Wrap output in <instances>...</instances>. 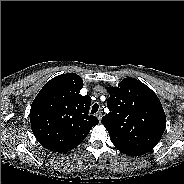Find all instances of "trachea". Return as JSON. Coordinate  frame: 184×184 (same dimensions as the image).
<instances>
[{
	"instance_id": "obj_1",
	"label": "trachea",
	"mask_w": 184,
	"mask_h": 184,
	"mask_svg": "<svg viewBox=\"0 0 184 184\" xmlns=\"http://www.w3.org/2000/svg\"><path fill=\"white\" fill-rule=\"evenodd\" d=\"M99 105L96 103L92 106L91 114H95L98 111Z\"/></svg>"
}]
</instances>
